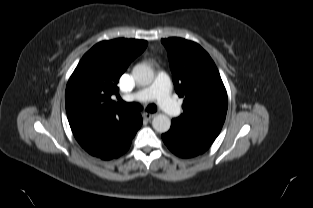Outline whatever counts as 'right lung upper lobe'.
Listing matches in <instances>:
<instances>
[{
    "label": "right lung upper lobe",
    "instance_id": "cb5924a9",
    "mask_svg": "<svg viewBox=\"0 0 313 208\" xmlns=\"http://www.w3.org/2000/svg\"><path fill=\"white\" fill-rule=\"evenodd\" d=\"M147 41L114 39L93 46L71 75L65 93L69 122L107 116L127 117L132 113L111 99L129 64L147 47Z\"/></svg>",
    "mask_w": 313,
    "mask_h": 208
}]
</instances>
